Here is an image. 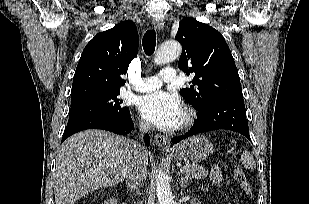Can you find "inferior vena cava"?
<instances>
[{
  "label": "inferior vena cava",
  "mask_w": 309,
  "mask_h": 204,
  "mask_svg": "<svg viewBox=\"0 0 309 204\" xmlns=\"http://www.w3.org/2000/svg\"><path fill=\"white\" fill-rule=\"evenodd\" d=\"M139 128L141 133L146 132L150 129V124L143 122ZM147 162L146 150H144L141 144L133 142V155L125 174L126 186L129 190L135 191L145 182Z\"/></svg>",
  "instance_id": "602c4592"
}]
</instances>
